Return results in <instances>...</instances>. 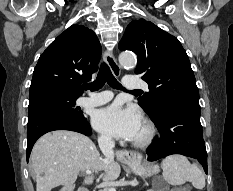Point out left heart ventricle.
I'll return each instance as SVG.
<instances>
[{
	"label": "left heart ventricle",
	"mask_w": 233,
	"mask_h": 191,
	"mask_svg": "<svg viewBox=\"0 0 233 191\" xmlns=\"http://www.w3.org/2000/svg\"><path fill=\"white\" fill-rule=\"evenodd\" d=\"M146 134V128L144 126V124H142L138 134L136 135L135 139L134 140H140L142 139Z\"/></svg>",
	"instance_id": "b2bd125f"
}]
</instances>
